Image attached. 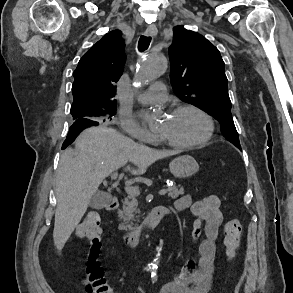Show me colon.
<instances>
[{
    "label": "colon",
    "instance_id": "colon-1",
    "mask_svg": "<svg viewBox=\"0 0 293 293\" xmlns=\"http://www.w3.org/2000/svg\"><path fill=\"white\" fill-rule=\"evenodd\" d=\"M100 221V215L91 211L85 215L75 233L77 238L89 243L83 270V283L87 293H113L100 263ZM224 233L225 254L228 259H232L240 246L242 234L240 220H229L224 226Z\"/></svg>",
    "mask_w": 293,
    "mask_h": 293
}]
</instances>
